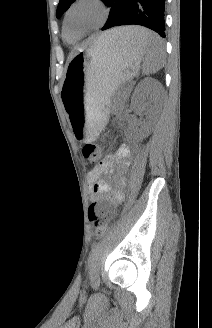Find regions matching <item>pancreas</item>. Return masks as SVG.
I'll return each mask as SVG.
<instances>
[{"label":"pancreas","instance_id":"obj_1","mask_svg":"<svg viewBox=\"0 0 212 328\" xmlns=\"http://www.w3.org/2000/svg\"><path fill=\"white\" fill-rule=\"evenodd\" d=\"M123 95H121V97L119 98V100L117 101V103H122L123 102Z\"/></svg>","mask_w":212,"mask_h":328}]
</instances>
